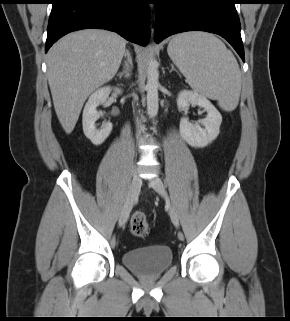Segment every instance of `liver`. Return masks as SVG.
I'll return each instance as SVG.
<instances>
[{
    "mask_svg": "<svg viewBox=\"0 0 290 321\" xmlns=\"http://www.w3.org/2000/svg\"><path fill=\"white\" fill-rule=\"evenodd\" d=\"M126 41L103 29L69 33L49 50L47 77L60 124L70 134L87 97L118 71Z\"/></svg>",
    "mask_w": 290,
    "mask_h": 321,
    "instance_id": "liver-1",
    "label": "liver"
}]
</instances>
